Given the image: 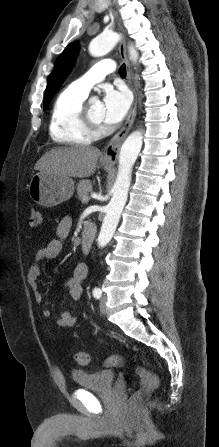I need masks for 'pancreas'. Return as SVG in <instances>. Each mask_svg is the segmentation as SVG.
Listing matches in <instances>:
<instances>
[{"instance_id":"cf45deb5","label":"pancreas","mask_w":219,"mask_h":447,"mask_svg":"<svg viewBox=\"0 0 219 447\" xmlns=\"http://www.w3.org/2000/svg\"><path fill=\"white\" fill-rule=\"evenodd\" d=\"M91 186L90 180H81L77 184V194L78 198L82 199L84 196L88 195L89 188Z\"/></svg>"}]
</instances>
